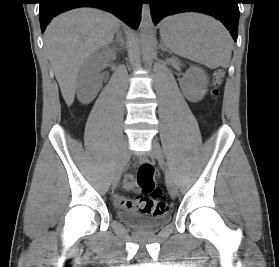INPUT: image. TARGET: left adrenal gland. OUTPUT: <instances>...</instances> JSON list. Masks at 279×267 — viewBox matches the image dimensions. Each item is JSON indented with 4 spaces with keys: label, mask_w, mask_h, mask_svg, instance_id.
I'll return each instance as SVG.
<instances>
[{
    "label": "left adrenal gland",
    "mask_w": 279,
    "mask_h": 267,
    "mask_svg": "<svg viewBox=\"0 0 279 267\" xmlns=\"http://www.w3.org/2000/svg\"><path fill=\"white\" fill-rule=\"evenodd\" d=\"M162 51H167V52H170L167 47H164V44H162V47H161Z\"/></svg>",
    "instance_id": "a2214340"
}]
</instances>
